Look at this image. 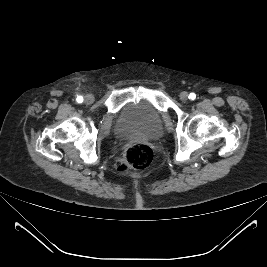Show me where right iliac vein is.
<instances>
[{"mask_svg": "<svg viewBox=\"0 0 267 267\" xmlns=\"http://www.w3.org/2000/svg\"><path fill=\"white\" fill-rule=\"evenodd\" d=\"M93 101H94V96L91 95V94H87V95L84 97V102H85L86 104H91V103H93Z\"/></svg>", "mask_w": 267, "mask_h": 267, "instance_id": "1", "label": "right iliac vein"}]
</instances>
